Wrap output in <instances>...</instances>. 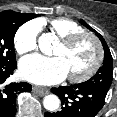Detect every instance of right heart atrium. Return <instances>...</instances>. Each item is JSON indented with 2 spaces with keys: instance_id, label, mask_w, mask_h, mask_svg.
Instances as JSON below:
<instances>
[{
  "instance_id": "d8ad5b80",
  "label": "right heart atrium",
  "mask_w": 117,
  "mask_h": 117,
  "mask_svg": "<svg viewBox=\"0 0 117 117\" xmlns=\"http://www.w3.org/2000/svg\"><path fill=\"white\" fill-rule=\"evenodd\" d=\"M41 25L38 21L23 24L14 37L15 49L19 54H26L37 48Z\"/></svg>"
}]
</instances>
